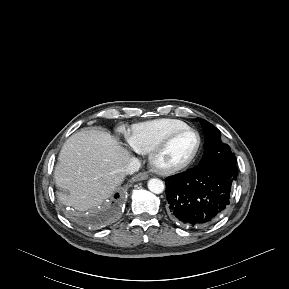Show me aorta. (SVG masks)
<instances>
[{"mask_svg":"<svg viewBox=\"0 0 289 289\" xmlns=\"http://www.w3.org/2000/svg\"><path fill=\"white\" fill-rule=\"evenodd\" d=\"M165 185L162 180L158 178H152L148 181V189L155 193L160 194L164 191Z\"/></svg>","mask_w":289,"mask_h":289,"instance_id":"aorta-1","label":"aorta"}]
</instances>
